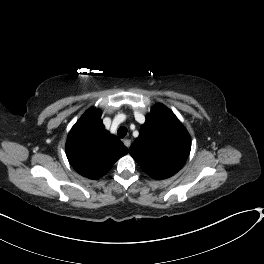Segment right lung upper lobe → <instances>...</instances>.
<instances>
[{"label": "right lung upper lobe", "mask_w": 264, "mask_h": 264, "mask_svg": "<svg viewBox=\"0 0 264 264\" xmlns=\"http://www.w3.org/2000/svg\"><path fill=\"white\" fill-rule=\"evenodd\" d=\"M128 153L127 147L105 130L100 111L87 110L72 127L66 142L71 166L82 176L99 179Z\"/></svg>", "instance_id": "obj_1"}]
</instances>
